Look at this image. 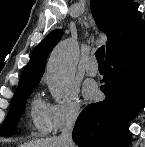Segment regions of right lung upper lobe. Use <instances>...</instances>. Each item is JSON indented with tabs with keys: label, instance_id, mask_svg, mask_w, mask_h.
<instances>
[{
	"label": "right lung upper lobe",
	"instance_id": "1",
	"mask_svg": "<svg viewBox=\"0 0 145 147\" xmlns=\"http://www.w3.org/2000/svg\"><path fill=\"white\" fill-rule=\"evenodd\" d=\"M90 5L97 26L107 35L106 54L145 23L141 20L138 5L131 0H90ZM61 36L62 30L56 29L37 45L21 75L17 90L38 85L46 59Z\"/></svg>",
	"mask_w": 145,
	"mask_h": 147
}]
</instances>
